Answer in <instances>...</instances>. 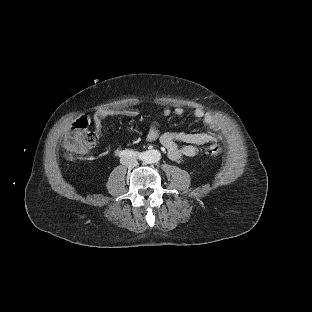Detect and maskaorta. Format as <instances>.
<instances>
[{
  "label": "aorta",
  "mask_w": 312,
  "mask_h": 312,
  "mask_svg": "<svg viewBox=\"0 0 312 312\" xmlns=\"http://www.w3.org/2000/svg\"><path fill=\"white\" fill-rule=\"evenodd\" d=\"M161 158V154L158 150H150V154L148 155V162L155 163L158 162Z\"/></svg>",
  "instance_id": "762f6f07"
}]
</instances>
